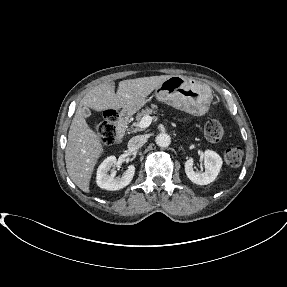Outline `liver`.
<instances>
[{"mask_svg":"<svg viewBox=\"0 0 287 287\" xmlns=\"http://www.w3.org/2000/svg\"><path fill=\"white\" fill-rule=\"evenodd\" d=\"M170 75L151 76L120 81L117 93L114 82L102 83L91 89L80 101L68 133L65 162L71 180L85 193L94 167L104 152L100 137L89 128L83 108L95 111L134 110L145 104L146 98Z\"/></svg>","mask_w":287,"mask_h":287,"instance_id":"6515ba94","label":"liver"}]
</instances>
